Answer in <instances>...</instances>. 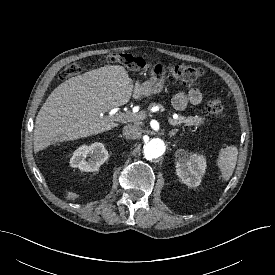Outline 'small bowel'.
Instances as JSON below:
<instances>
[{
    "mask_svg": "<svg viewBox=\"0 0 275 275\" xmlns=\"http://www.w3.org/2000/svg\"><path fill=\"white\" fill-rule=\"evenodd\" d=\"M202 93L196 89L191 88L187 93H178L173 98V105L176 109L182 110L187 104H199L202 101Z\"/></svg>",
    "mask_w": 275,
    "mask_h": 275,
    "instance_id": "c3829d8e",
    "label": "small bowel"
}]
</instances>
